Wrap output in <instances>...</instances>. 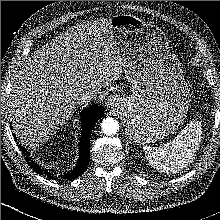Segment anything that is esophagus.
Returning a JSON list of instances; mask_svg holds the SVG:
<instances>
[{
    "label": "esophagus",
    "mask_w": 220,
    "mask_h": 220,
    "mask_svg": "<svg viewBox=\"0 0 220 220\" xmlns=\"http://www.w3.org/2000/svg\"><path fill=\"white\" fill-rule=\"evenodd\" d=\"M120 101L121 99L118 95H110L105 101V106L109 109H116V107L120 104Z\"/></svg>",
    "instance_id": "34e87169"
}]
</instances>
